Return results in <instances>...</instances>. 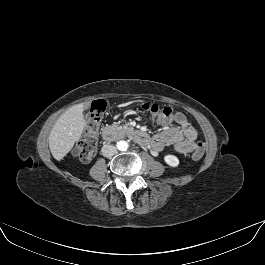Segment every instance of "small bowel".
Returning <instances> with one entry per match:
<instances>
[{
  "label": "small bowel",
  "mask_w": 265,
  "mask_h": 265,
  "mask_svg": "<svg viewBox=\"0 0 265 265\" xmlns=\"http://www.w3.org/2000/svg\"><path fill=\"white\" fill-rule=\"evenodd\" d=\"M153 120L165 128L151 139L150 144L154 150L161 151L165 147L172 146L177 152L186 154L203 148V144L197 140L196 130L185 118L176 120L154 116ZM173 123H177L178 127H170Z\"/></svg>",
  "instance_id": "c3829d8e"
}]
</instances>
